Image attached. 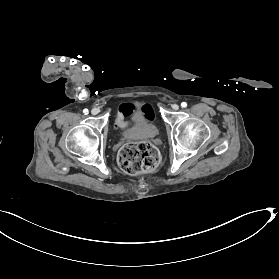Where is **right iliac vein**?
Masks as SVG:
<instances>
[{
    "instance_id": "obj_1",
    "label": "right iliac vein",
    "mask_w": 279,
    "mask_h": 279,
    "mask_svg": "<svg viewBox=\"0 0 279 279\" xmlns=\"http://www.w3.org/2000/svg\"><path fill=\"white\" fill-rule=\"evenodd\" d=\"M99 113V109L98 108H93L92 110H91V114L92 115H97Z\"/></svg>"
}]
</instances>
